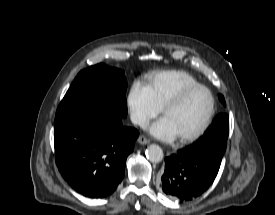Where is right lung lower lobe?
Wrapping results in <instances>:
<instances>
[{
	"instance_id": "right-lung-lower-lobe-1",
	"label": "right lung lower lobe",
	"mask_w": 275,
	"mask_h": 215,
	"mask_svg": "<svg viewBox=\"0 0 275 215\" xmlns=\"http://www.w3.org/2000/svg\"><path fill=\"white\" fill-rule=\"evenodd\" d=\"M109 107L55 120L57 167L77 192L90 198L112 194L122 181L127 156L139 132L122 125Z\"/></svg>"
}]
</instances>
